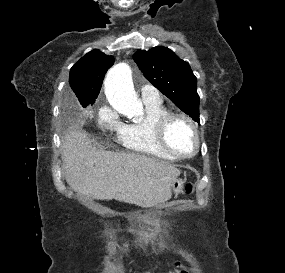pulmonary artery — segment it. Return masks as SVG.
Segmentation results:
<instances>
[{"label": "pulmonary artery", "instance_id": "pulmonary-artery-1", "mask_svg": "<svg viewBox=\"0 0 285 273\" xmlns=\"http://www.w3.org/2000/svg\"><path fill=\"white\" fill-rule=\"evenodd\" d=\"M141 96L143 102H156L162 99L158 90L150 84H144L141 87Z\"/></svg>", "mask_w": 285, "mask_h": 273}]
</instances>
